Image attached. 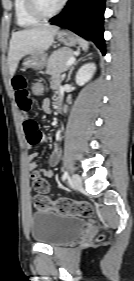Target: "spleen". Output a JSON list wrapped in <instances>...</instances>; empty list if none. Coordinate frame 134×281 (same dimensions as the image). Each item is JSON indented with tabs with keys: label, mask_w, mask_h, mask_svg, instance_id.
I'll use <instances>...</instances> for the list:
<instances>
[{
	"label": "spleen",
	"mask_w": 134,
	"mask_h": 281,
	"mask_svg": "<svg viewBox=\"0 0 134 281\" xmlns=\"http://www.w3.org/2000/svg\"><path fill=\"white\" fill-rule=\"evenodd\" d=\"M79 44L82 47L83 50H87L89 47V44L87 41H85L84 39H80L79 40Z\"/></svg>",
	"instance_id": "spleen-1"
}]
</instances>
